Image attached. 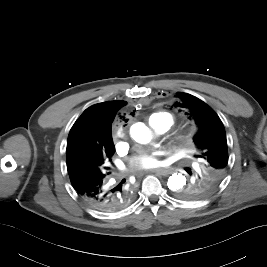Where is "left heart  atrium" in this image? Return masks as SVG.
<instances>
[{
  "instance_id": "obj_1",
  "label": "left heart atrium",
  "mask_w": 267,
  "mask_h": 267,
  "mask_svg": "<svg viewBox=\"0 0 267 267\" xmlns=\"http://www.w3.org/2000/svg\"><path fill=\"white\" fill-rule=\"evenodd\" d=\"M161 161L159 159L158 152L143 153L137 155L132 159L131 170L135 173L150 170L160 166Z\"/></svg>"
}]
</instances>
